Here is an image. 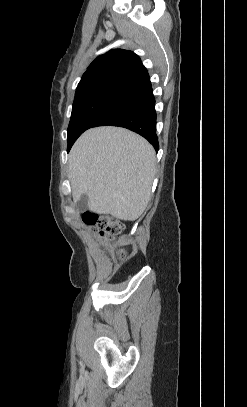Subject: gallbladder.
<instances>
[{
	"label": "gallbladder",
	"instance_id": "gallbladder-1",
	"mask_svg": "<svg viewBox=\"0 0 247 407\" xmlns=\"http://www.w3.org/2000/svg\"><path fill=\"white\" fill-rule=\"evenodd\" d=\"M88 201V196L86 194H82L80 200L76 204L77 209L84 211L88 207Z\"/></svg>",
	"mask_w": 247,
	"mask_h": 407
}]
</instances>
